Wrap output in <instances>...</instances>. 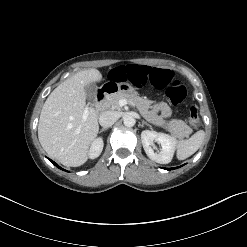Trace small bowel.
<instances>
[{"label":"small bowel","mask_w":247,"mask_h":247,"mask_svg":"<svg viewBox=\"0 0 247 247\" xmlns=\"http://www.w3.org/2000/svg\"><path fill=\"white\" fill-rule=\"evenodd\" d=\"M139 66V65H138ZM157 110L160 111V113L164 116V117H168L171 114V109L170 107L166 104V103H160L157 106Z\"/></svg>","instance_id":"c3829d8e"}]
</instances>
